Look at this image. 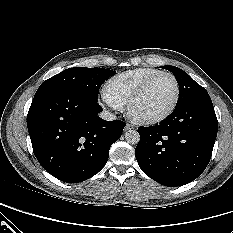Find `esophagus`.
Returning a JSON list of instances; mask_svg holds the SVG:
<instances>
[{
    "label": "esophagus",
    "mask_w": 233,
    "mask_h": 233,
    "mask_svg": "<svg viewBox=\"0 0 233 233\" xmlns=\"http://www.w3.org/2000/svg\"><path fill=\"white\" fill-rule=\"evenodd\" d=\"M132 128H134V126L131 125V124H129V123H127L126 126H125L124 131H128V130H130V129H132Z\"/></svg>",
    "instance_id": "1"
}]
</instances>
